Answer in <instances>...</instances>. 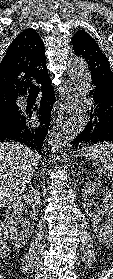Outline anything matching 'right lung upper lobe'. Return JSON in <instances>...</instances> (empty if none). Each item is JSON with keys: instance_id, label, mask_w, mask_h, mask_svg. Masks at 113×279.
Listing matches in <instances>:
<instances>
[{"instance_id": "cb5924a9", "label": "right lung upper lobe", "mask_w": 113, "mask_h": 279, "mask_svg": "<svg viewBox=\"0 0 113 279\" xmlns=\"http://www.w3.org/2000/svg\"><path fill=\"white\" fill-rule=\"evenodd\" d=\"M46 68L44 43L34 29L22 31L12 41L0 63V109L16 104V98L25 95L32 79L39 82Z\"/></svg>"}]
</instances>
